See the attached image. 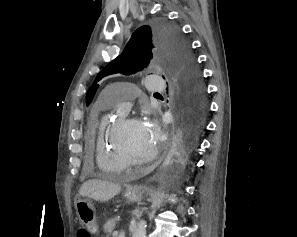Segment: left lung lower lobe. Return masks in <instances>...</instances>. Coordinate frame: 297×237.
<instances>
[{
  "label": "left lung lower lobe",
  "instance_id": "0a47b994",
  "mask_svg": "<svg viewBox=\"0 0 297 237\" xmlns=\"http://www.w3.org/2000/svg\"><path fill=\"white\" fill-rule=\"evenodd\" d=\"M177 109L182 127L173 139L171 160L176 162L185 158L197 145L199 133L204 127L207 105L199 106L185 94L180 93Z\"/></svg>",
  "mask_w": 297,
  "mask_h": 237
}]
</instances>
